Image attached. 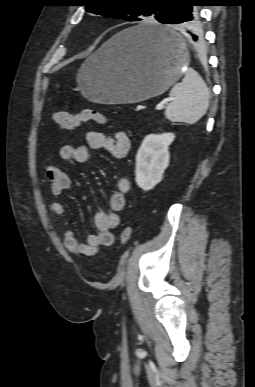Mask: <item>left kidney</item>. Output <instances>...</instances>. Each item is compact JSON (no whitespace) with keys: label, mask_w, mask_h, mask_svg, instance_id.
I'll return each instance as SVG.
<instances>
[{"label":"left kidney","mask_w":255,"mask_h":387,"mask_svg":"<svg viewBox=\"0 0 255 387\" xmlns=\"http://www.w3.org/2000/svg\"><path fill=\"white\" fill-rule=\"evenodd\" d=\"M173 133L147 135L136 155L135 180L144 191L157 185L169 165V145L174 141Z\"/></svg>","instance_id":"obj_1"}]
</instances>
